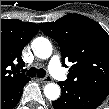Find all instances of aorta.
Listing matches in <instances>:
<instances>
[{
    "label": "aorta",
    "mask_w": 109,
    "mask_h": 109,
    "mask_svg": "<svg viewBox=\"0 0 109 109\" xmlns=\"http://www.w3.org/2000/svg\"><path fill=\"white\" fill-rule=\"evenodd\" d=\"M32 50L40 59H47L52 54L51 42L44 37L35 38L31 44ZM61 89L55 83H49L44 87V94L49 100H57L60 97Z\"/></svg>",
    "instance_id": "obj_1"
}]
</instances>
